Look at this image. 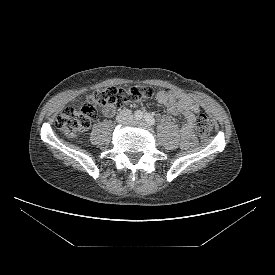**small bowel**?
<instances>
[{
    "label": "small bowel",
    "instance_id": "c3829d8e",
    "mask_svg": "<svg viewBox=\"0 0 275 275\" xmlns=\"http://www.w3.org/2000/svg\"><path fill=\"white\" fill-rule=\"evenodd\" d=\"M157 101L166 107L170 115L185 119V124L180 130L181 143L184 147L194 145L196 138L193 128L196 115L200 111L198 104L191 97L176 90L159 91ZM102 111L105 116L112 117L116 114L117 108L114 104H109L105 105Z\"/></svg>",
    "mask_w": 275,
    "mask_h": 275
}]
</instances>
